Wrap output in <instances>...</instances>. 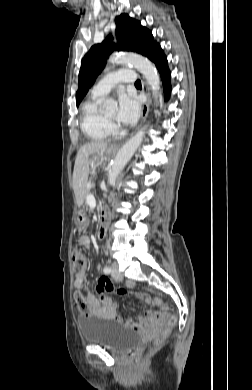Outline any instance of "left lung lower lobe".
I'll return each instance as SVG.
<instances>
[{
	"instance_id": "obj_1",
	"label": "left lung lower lobe",
	"mask_w": 252,
	"mask_h": 390,
	"mask_svg": "<svg viewBox=\"0 0 252 390\" xmlns=\"http://www.w3.org/2000/svg\"><path fill=\"white\" fill-rule=\"evenodd\" d=\"M147 57L155 63L158 71L160 72L164 88V97L165 100H168L171 92V75L168 68L167 58L164 55L160 45L156 43L149 51Z\"/></svg>"
}]
</instances>
